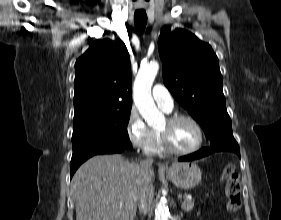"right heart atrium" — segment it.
Instances as JSON below:
<instances>
[{
	"instance_id": "1",
	"label": "right heart atrium",
	"mask_w": 281,
	"mask_h": 220,
	"mask_svg": "<svg viewBox=\"0 0 281 220\" xmlns=\"http://www.w3.org/2000/svg\"><path fill=\"white\" fill-rule=\"evenodd\" d=\"M126 133L135 149L149 153L153 144V131L147 127L136 110H132L128 116Z\"/></svg>"
}]
</instances>
